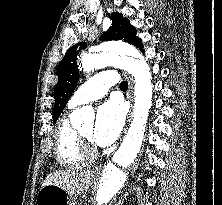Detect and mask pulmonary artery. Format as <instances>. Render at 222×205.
Returning <instances> with one entry per match:
<instances>
[{
    "instance_id": "e3ab8cb5",
    "label": "pulmonary artery",
    "mask_w": 222,
    "mask_h": 205,
    "mask_svg": "<svg viewBox=\"0 0 222 205\" xmlns=\"http://www.w3.org/2000/svg\"><path fill=\"white\" fill-rule=\"evenodd\" d=\"M116 83L117 76L113 70L100 71L75 91L69 101V108L78 107L104 96Z\"/></svg>"
}]
</instances>
